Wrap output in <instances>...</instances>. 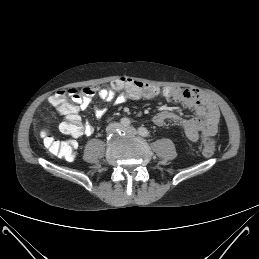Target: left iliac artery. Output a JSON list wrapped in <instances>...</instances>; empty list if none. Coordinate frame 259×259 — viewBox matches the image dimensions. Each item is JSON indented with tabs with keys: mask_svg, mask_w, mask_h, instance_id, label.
<instances>
[{
	"mask_svg": "<svg viewBox=\"0 0 259 259\" xmlns=\"http://www.w3.org/2000/svg\"><path fill=\"white\" fill-rule=\"evenodd\" d=\"M138 132L143 137H149L150 136V132L145 127H140L138 129Z\"/></svg>",
	"mask_w": 259,
	"mask_h": 259,
	"instance_id": "1",
	"label": "left iliac artery"
}]
</instances>
